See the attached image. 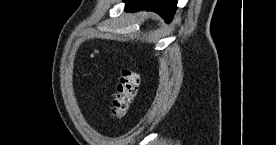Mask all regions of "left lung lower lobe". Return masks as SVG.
<instances>
[{
    "mask_svg": "<svg viewBox=\"0 0 276 145\" xmlns=\"http://www.w3.org/2000/svg\"><path fill=\"white\" fill-rule=\"evenodd\" d=\"M126 11L147 10L158 13L170 23L176 10L177 0H123Z\"/></svg>",
    "mask_w": 276,
    "mask_h": 145,
    "instance_id": "left-lung-lower-lobe-1",
    "label": "left lung lower lobe"
}]
</instances>
